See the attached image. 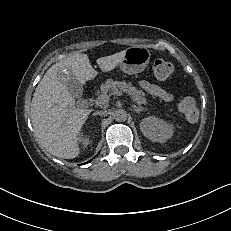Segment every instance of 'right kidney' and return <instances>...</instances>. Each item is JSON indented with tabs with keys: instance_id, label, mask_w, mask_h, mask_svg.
I'll return each instance as SVG.
<instances>
[{
	"instance_id": "ca27d5eb",
	"label": "right kidney",
	"mask_w": 231,
	"mask_h": 231,
	"mask_svg": "<svg viewBox=\"0 0 231 231\" xmlns=\"http://www.w3.org/2000/svg\"><path fill=\"white\" fill-rule=\"evenodd\" d=\"M80 142H82L84 147H87L90 143L89 138L87 136L84 137L83 135L80 136Z\"/></svg>"
}]
</instances>
